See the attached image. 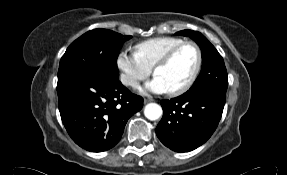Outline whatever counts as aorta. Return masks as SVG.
<instances>
[{
  "instance_id": "aorta-1",
  "label": "aorta",
  "mask_w": 287,
  "mask_h": 175,
  "mask_svg": "<svg viewBox=\"0 0 287 175\" xmlns=\"http://www.w3.org/2000/svg\"><path fill=\"white\" fill-rule=\"evenodd\" d=\"M144 115L149 120H157L162 116V108L156 103H149L144 108Z\"/></svg>"
}]
</instances>
